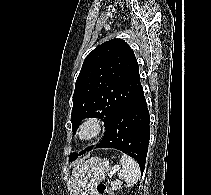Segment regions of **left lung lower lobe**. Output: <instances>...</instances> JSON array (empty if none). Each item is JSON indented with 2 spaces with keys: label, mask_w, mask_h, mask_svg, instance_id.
<instances>
[{
  "label": "left lung lower lobe",
  "mask_w": 211,
  "mask_h": 195,
  "mask_svg": "<svg viewBox=\"0 0 211 195\" xmlns=\"http://www.w3.org/2000/svg\"><path fill=\"white\" fill-rule=\"evenodd\" d=\"M149 111L140 86L106 127L94 148H115L133 157L144 171L149 144Z\"/></svg>",
  "instance_id": "1"
}]
</instances>
